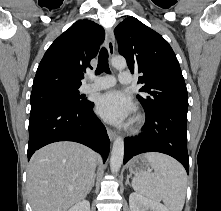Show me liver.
Wrapping results in <instances>:
<instances>
[{
  "label": "liver",
  "mask_w": 221,
  "mask_h": 211,
  "mask_svg": "<svg viewBox=\"0 0 221 211\" xmlns=\"http://www.w3.org/2000/svg\"><path fill=\"white\" fill-rule=\"evenodd\" d=\"M98 155L74 142L44 146L31 157L27 190L33 211H67L92 184Z\"/></svg>",
  "instance_id": "6515ba94"
}]
</instances>
